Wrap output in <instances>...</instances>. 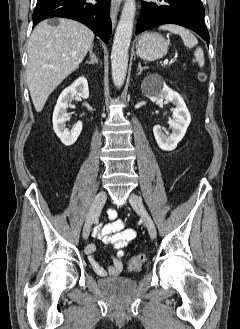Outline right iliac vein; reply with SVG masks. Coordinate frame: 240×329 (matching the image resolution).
<instances>
[{
  "label": "right iliac vein",
  "instance_id": "obj_1",
  "mask_svg": "<svg viewBox=\"0 0 240 329\" xmlns=\"http://www.w3.org/2000/svg\"><path fill=\"white\" fill-rule=\"evenodd\" d=\"M107 199V195L105 191H100L96 197L95 200L88 212V215L86 217L84 226H83V238L87 239L90 231H91V227L92 224L94 222V220L99 216L105 202Z\"/></svg>",
  "mask_w": 240,
  "mask_h": 329
}]
</instances>
